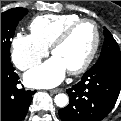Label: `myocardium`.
<instances>
[{"label":"myocardium","instance_id":"myocardium-1","mask_svg":"<svg viewBox=\"0 0 121 121\" xmlns=\"http://www.w3.org/2000/svg\"><path fill=\"white\" fill-rule=\"evenodd\" d=\"M86 23L91 24L94 29V42L85 60L78 67L68 71V73L71 75L81 74L90 66V64L94 60L98 52L100 41H101V33H100L97 23L94 20L89 19V18H81L71 23L69 26H67L59 34V36L54 40L53 44L51 45V53L54 55L56 49L60 47L61 45H63L69 39V37L76 30V28Z\"/></svg>","mask_w":121,"mask_h":121}]
</instances>
